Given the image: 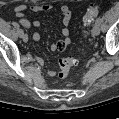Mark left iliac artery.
<instances>
[{"instance_id": "1", "label": "left iliac artery", "mask_w": 119, "mask_h": 119, "mask_svg": "<svg viewBox=\"0 0 119 119\" xmlns=\"http://www.w3.org/2000/svg\"><path fill=\"white\" fill-rule=\"evenodd\" d=\"M101 21H102V19L99 17V18H97V20H96V23H101Z\"/></svg>"}]
</instances>
